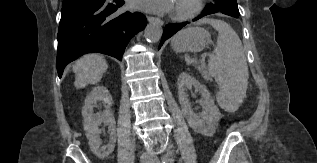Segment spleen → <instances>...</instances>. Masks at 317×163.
Returning <instances> with one entry per match:
<instances>
[{
    "label": "spleen",
    "instance_id": "1",
    "mask_svg": "<svg viewBox=\"0 0 317 163\" xmlns=\"http://www.w3.org/2000/svg\"><path fill=\"white\" fill-rule=\"evenodd\" d=\"M210 24L219 33L216 47L208 60V70L219 91L216 99L225 111L235 112L243 102L248 86V66L241 40L222 20L202 19L197 24Z\"/></svg>",
    "mask_w": 317,
    "mask_h": 163
}]
</instances>
